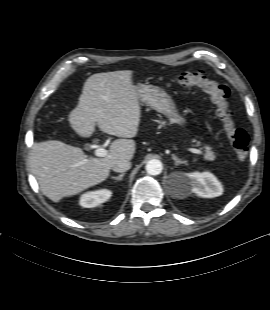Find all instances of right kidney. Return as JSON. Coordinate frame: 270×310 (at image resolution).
<instances>
[{"mask_svg": "<svg viewBox=\"0 0 270 310\" xmlns=\"http://www.w3.org/2000/svg\"><path fill=\"white\" fill-rule=\"evenodd\" d=\"M112 195L107 189L86 192L80 197V205L85 208H93L106 202Z\"/></svg>", "mask_w": 270, "mask_h": 310, "instance_id": "obj_1", "label": "right kidney"}]
</instances>
